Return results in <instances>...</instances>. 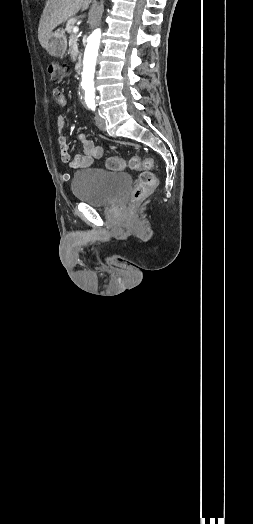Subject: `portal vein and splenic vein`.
Returning a JSON list of instances; mask_svg holds the SVG:
<instances>
[{"label": "portal vein and splenic vein", "instance_id": "portal-vein-and-splenic-vein-1", "mask_svg": "<svg viewBox=\"0 0 253 524\" xmlns=\"http://www.w3.org/2000/svg\"><path fill=\"white\" fill-rule=\"evenodd\" d=\"M78 31H79V28H78V27H74V28H73V32L76 33V32H78Z\"/></svg>", "mask_w": 253, "mask_h": 524}]
</instances>
